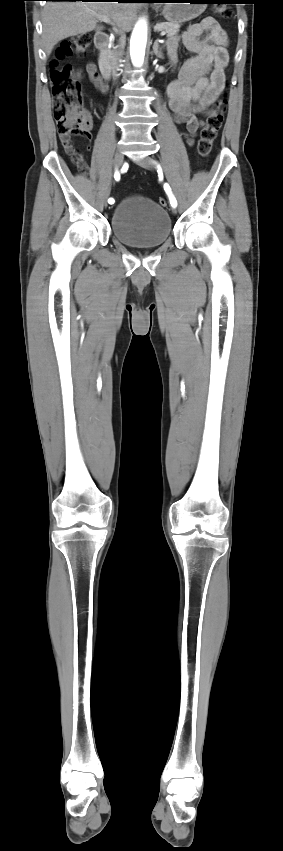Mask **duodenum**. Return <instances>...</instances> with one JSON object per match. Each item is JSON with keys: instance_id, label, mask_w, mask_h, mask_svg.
<instances>
[{"instance_id": "410a0bca", "label": "duodenum", "mask_w": 283, "mask_h": 851, "mask_svg": "<svg viewBox=\"0 0 283 851\" xmlns=\"http://www.w3.org/2000/svg\"><path fill=\"white\" fill-rule=\"evenodd\" d=\"M110 43V37L106 33H99L95 37V46L98 50V61L103 77L111 81V68L109 67L107 51Z\"/></svg>"}]
</instances>
